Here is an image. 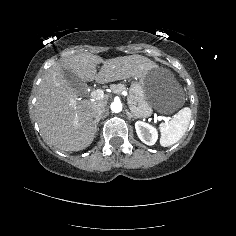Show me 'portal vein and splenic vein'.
I'll return each mask as SVG.
<instances>
[{
    "instance_id": "portal-vein-and-splenic-vein-1",
    "label": "portal vein and splenic vein",
    "mask_w": 236,
    "mask_h": 236,
    "mask_svg": "<svg viewBox=\"0 0 236 236\" xmlns=\"http://www.w3.org/2000/svg\"><path fill=\"white\" fill-rule=\"evenodd\" d=\"M91 97L96 99V100L103 99L104 92L102 90H100V89H97V90L91 92ZM162 119L167 121V120H170V119H174V116H171V118L170 117L163 118L162 116H158V120L159 121H161Z\"/></svg>"
}]
</instances>
